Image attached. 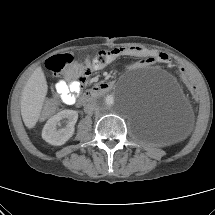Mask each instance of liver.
Listing matches in <instances>:
<instances>
[{"label": "liver", "mask_w": 215, "mask_h": 215, "mask_svg": "<svg viewBox=\"0 0 215 215\" xmlns=\"http://www.w3.org/2000/svg\"><path fill=\"white\" fill-rule=\"evenodd\" d=\"M47 90V81L42 68L37 67L21 94V115L25 126L29 129L36 125L40 117Z\"/></svg>", "instance_id": "liver-1"}]
</instances>
